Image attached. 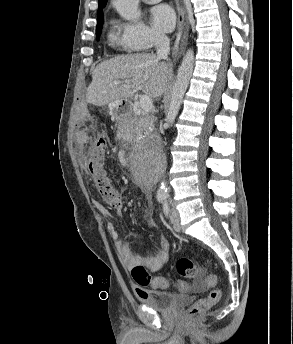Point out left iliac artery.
Masks as SVG:
<instances>
[{"label": "left iliac artery", "instance_id": "44dca946", "mask_svg": "<svg viewBox=\"0 0 293 344\" xmlns=\"http://www.w3.org/2000/svg\"><path fill=\"white\" fill-rule=\"evenodd\" d=\"M163 210H164V213L167 215V214H168V211H169V207H168V204H167L166 201H165L164 204H163Z\"/></svg>", "mask_w": 293, "mask_h": 344}]
</instances>
